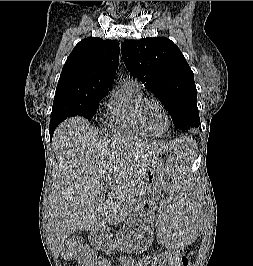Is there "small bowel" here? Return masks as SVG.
I'll return each instance as SVG.
<instances>
[{"mask_svg": "<svg viewBox=\"0 0 253 266\" xmlns=\"http://www.w3.org/2000/svg\"><path fill=\"white\" fill-rule=\"evenodd\" d=\"M150 257H144L139 261V266H143V263ZM120 266H135L133 260L128 256H122L119 258Z\"/></svg>", "mask_w": 253, "mask_h": 266, "instance_id": "1", "label": "small bowel"}]
</instances>
